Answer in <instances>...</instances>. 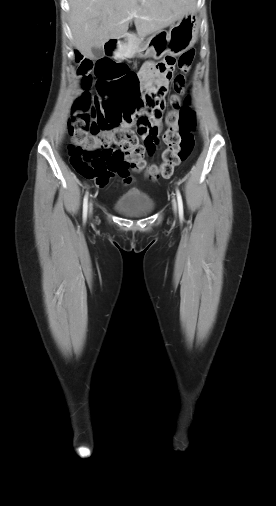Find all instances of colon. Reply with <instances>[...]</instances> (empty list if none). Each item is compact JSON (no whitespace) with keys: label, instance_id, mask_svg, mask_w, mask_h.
Segmentation results:
<instances>
[{"label":"colon","instance_id":"obj_1","mask_svg":"<svg viewBox=\"0 0 276 506\" xmlns=\"http://www.w3.org/2000/svg\"><path fill=\"white\" fill-rule=\"evenodd\" d=\"M68 57L78 63L81 89L68 121L72 138L69 161L78 174L88 179L97 178L106 172L110 159L116 157L126 169L145 171L149 179L156 180L159 176L171 177L174 168L189 159L195 146L196 117L190 100L182 102L180 95L185 90V75L195 57L193 48L177 60L180 73L173 78L175 94L170 98L172 109L166 115L168 128L162 135L167 148L162 154V164L150 166L144 157L159 143L158 135L151 132V117L165 96L164 89L146 88L144 95H140L137 80L141 78V71L122 66L131 58H104L99 54L97 63L93 64L91 57L79 49L70 50ZM175 63L173 57H167L158 69L170 79ZM93 69L100 97H91L88 93L93 83L90 74ZM124 123L136 124L138 132L146 134L143 144L134 131L119 126Z\"/></svg>","mask_w":276,"mask_h":506}]
</instances>
